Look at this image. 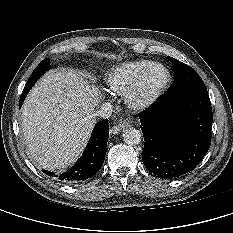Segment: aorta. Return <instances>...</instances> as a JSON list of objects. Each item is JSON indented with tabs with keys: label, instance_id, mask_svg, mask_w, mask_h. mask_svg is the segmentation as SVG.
I'll return each mask as SVG.
<instances>
[{
	"label": "aorta",
	"instance_id": "762f6f07",
	"mask_svg": "<svg viewBox=\"0 0 233 233\" xmlns=\"http://www.w3.org/2000/svg\"><path fill=\"white\" fill-rule=\"evenodd\" d=\"M122 138L127 145H138L141 142L142 134L138 129L130 127L123 130Z\"/></svg>",
	"mask_w": 233,
	"mask_h": 233
}]
</instances>
